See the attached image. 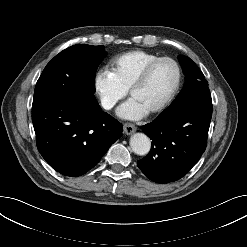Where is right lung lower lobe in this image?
<instances>
[{
    "mask_svg": "<svg viewBox=\"0 0 247 247\" xmlns=\"http://www.w3.org/2000/svg\"><path fill=\"white\" fill-rule=\"evenodd\" d=\"M32 122L42 157L70 177L93 168L123 131L98 104L81 105L60 94L33 105Z\"/></svg>",
    "mask_w": 247,
    "mask_h": 247,
    "instance_id": "right-lung-lower-lobe-1",
    "label": "right lung lower lobe"
}]
</instances>
